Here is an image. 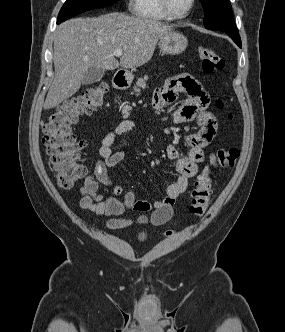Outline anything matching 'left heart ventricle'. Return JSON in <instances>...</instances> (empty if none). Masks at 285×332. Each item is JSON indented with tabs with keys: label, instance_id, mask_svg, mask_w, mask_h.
<instances>
[{
	"label": "left heart ventricle",
	"instance_id": "left-heart-ventricle-1",
	"mask_svg": "<svg viewBox=\"0 0 285 332\" xmlns=\"http://www.w3.org/2000/svg\"><path fill=\"white\" fill-rule=\"evenodd\" d=\"M173 11L177 14H183L190 6L191 0H169Z\"/></svg>",
	"mask_w": 285,
	"mask_h": 332
}]
</instances>
